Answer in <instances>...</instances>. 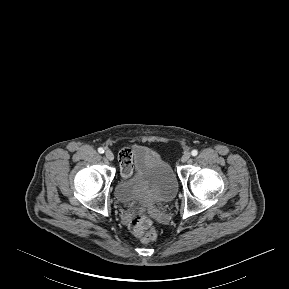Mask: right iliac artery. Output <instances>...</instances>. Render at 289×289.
I'll use <instances>...</instances> for the list:
<instances>
[{
  "mask_svg": "<svg viewBox=\"0 0 289 289\" xmlns=\"http://www.w3.org/2000/svg\"><path fill=\"white\" fill-rule=\"evenodd\" d=\"M98 152H99L100 154H103V153H104V149H103L102 147H100V148H98Z\"/></svg>",
  "mask_w": 289,
  "mask_h": 289,
  "instance_id": "right-iliac-artery-1",
  "label": "right iliac artery"
}]
</instances>
